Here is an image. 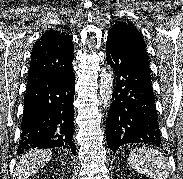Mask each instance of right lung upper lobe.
<instances>
[{
  "label": "right lung upper lobe",
  "instance_id": "obj_1",
  "mask_svg": "<svg viewBox=\"0 0 183 179\" xmlns=\"http://www.w3.org/2000/svg\"><path fill=\"white\" fill-rule=\"evenodd\" d=\"M73 43L66 32L49 30L33 46L28 81L40 76L73 74Z\"/></svg>",
  "mask_w": 183,
  "mask_h": 179
}]
</instances>
